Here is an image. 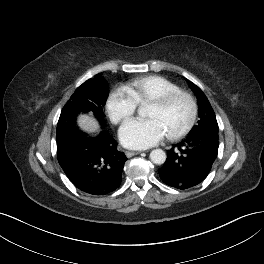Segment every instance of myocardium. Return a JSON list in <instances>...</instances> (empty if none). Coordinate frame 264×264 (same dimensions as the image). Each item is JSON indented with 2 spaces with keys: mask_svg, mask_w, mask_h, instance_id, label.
Instances as JSON below:
<instances>
[{
  "mask_svg": "<svg viewBox=\"0 0 264 264\" xmlns=\"http://www.w3.org/2000/svg\"><path fill=\"white\" fill-rule=\"evenodd\" d=\"M183 98L187 101L189 106V114L185 121V123L177 130L173 132L167 133V137L170 140H177L184 135H186L191 128L193 127L197 114H198V106L195 98L193 95L182 89H178L169 93L164 94L163 96L156 98L152 101H150V104L158 107V108H167L170 106L173 102H175L177 99Z\"/></svg>",
  "mask_w": 264,
  "mask_h": 264,
  "instance_id": "1",
  "label": "myocardium"
}]
</instances>
